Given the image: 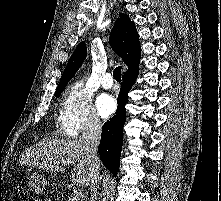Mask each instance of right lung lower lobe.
I'll list each match as a JSON object with an SVG mask.
<instances>
[{
	"instance_id": "98d812e1",
	"label": "right lung lower lobe",
	"mask_w": 221,
	"mask_h": 201,
	"mask_svg": "<svg viewBox=\"0 0 221 201\" xmlns=\"http://www.w3.org/2000/svg\"><path fill=\"white\" fill-rule=\"evenodd\" d=\"M118 95V108L114 117L102 128L101 141L98 147L99 155L106 168L114 175L119 170V159L123 144V126L126 120L125 104L128 102V92L135 83L138 70L125 74Z\"/></svg>"
}]
</instances>
